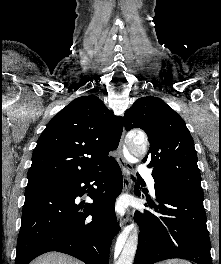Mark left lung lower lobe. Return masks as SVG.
<instances>
[{
    "label": "left lung lower lobe",
    "instance_id": "0a47b994",
    "mask_svg": "<svg viewBox=\"0 0 221 264\" xmlns=\"http://www.w3.org/2000/svg\"><path fill=\"white\" fill-rule=\"evenodd\" d=\"M134 192L141 196L139 185H135ZM155 194L159 205L149 203V207L156 213H135L140 234L134 264H153L171 258L212 264L203 197L157 183Z\"/></svg>",
    "mask_w": 221,
    "mask_h": 264
}]
</instances>
